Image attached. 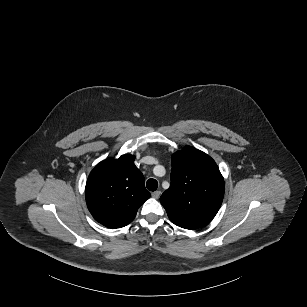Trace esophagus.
I'll return each mask as SVG.
<instances>
[{
  "instance_id": "1",
  "label": "esophagus",
  "mask_w": 307,
  "mask_h": 307,
  "mask_svg": "<svg viewBox=\"0 0 307 307\" xmlns=\"http://www.w3.org/2000/svg\"><path fill=\"white\" fill-rule=\"evenodd\" d=\"M160 195H161V191H154L152 193V197L155 199H158Z\"/></svg>"
}]
</instances>
